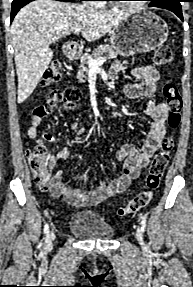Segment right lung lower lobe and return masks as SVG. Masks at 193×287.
I'll use <instances>...</instances> for the list:
<instances>
[{"instance_id": "right-lung-lower-lobe-1", "label": "right lung lower lobe", "mask_w": 193, "mask_h": 287, "mask_svg": "<svg viewBox=\"0 0 193 287\" xmlns=\"http://www.w3.org/2000/svg\"><path fill=\"white\" fill-rule=\"evenodd\" d=\"M31 1H34V0H13V2H12V10H11V21L13 20V18L17 14V12L22 7H24L26 4L30 3ZM59 1L74 2V0H59Z\"/></svg>"}]
</instances>
